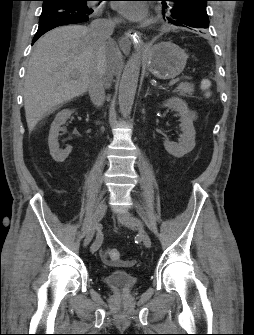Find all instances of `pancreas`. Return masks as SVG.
<instances>
[{"label": "pancreas", "instance_id": "obj_1", "mask_svg": "<svg viewBox=\"0 0 254 335\" xmlns=\"http://www.w3.org/2000/svg\"><path fill=\"white\" fill-rule=\"evenodd\" d=\"M175 92L183 97H191L192 93L194 92V85L188 82H181L177 86Z\"/></svg>", "mask_w": 254, "mask_h": 335}]
</instances>
